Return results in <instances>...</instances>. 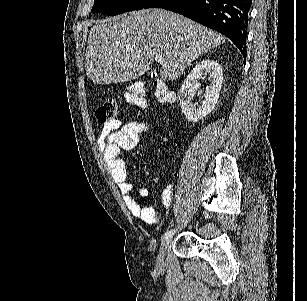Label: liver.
I'll list each match as a JSON object with an SVG mask.
<instances>
[{
  "label": "liver",
  "mask_w": 307,
  "mask_h": 301,
  "mask_svg": "<svg viewBox=\"0 0 307 301\" xmlns=\"http://www.w3.org/2000/svg\"><path fill=\"white\" fill-rule=\"evenodd\" d=\"M87 40L85 70L96 84L139 78L161 54L163 80H175L198 56L226 36L164 8H143L128 16L95 20Z\"/></svg>",
  "instance_id": "liver-1"
}]
</instances>
